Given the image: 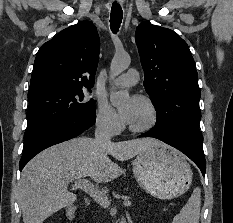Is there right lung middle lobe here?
<instances>
[{"mask_svg":"<svg viewBox=\"0 0 233 223\" xmlns=\"http://www.w3.org/2000/svg\"><path fill=\"white\" fill-rule=\"evenodd\" d=\"M28 128L25 138L68 117L94 111V101L84 100L81 87H58L28 94Z\"/></svg>","mask_w":233,"mask_h":223,"instance_id":"obj_1","label":"right lung middle lobe"}]
</instances>
